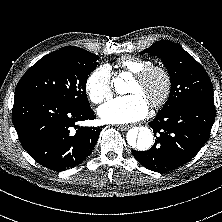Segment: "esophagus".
Returning <instances> with one entry per match:
<instances>
[{
	"instance_id": "esophagus-1",
	"label": "esophagus",
	"mask_w": 222,
	"mask_h": 222,
	"mask_svg": "<svg viewBox=\"0 0 222 222\" xmlns=\"http://www.w3.org/2000/svg\"><path fill=\"white\" fill-rule=\"evenodd\" d=\"M129 127H130L129 125H118V128L123 131L129 129Z\"/></svg>"
}]
</instances>
